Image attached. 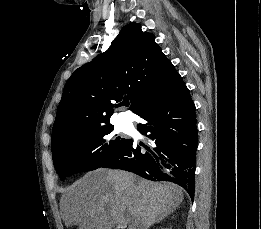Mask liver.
I'll return each mask as SVG.
<instances>
[{
  "label": "liver",
  "instance_id": "obj_1",
  "mask_svg": "<svg viewBox=\"0 0 261 229\" xmlns=\"http://www.w3.org/2000/svg\"><path fill=\"white\" fill-rule=\"evenodd\" d=\"M184 199L174 183H152L127 171L96 169L68 187L61 199L65 221L79 229H149L176 211Z\"/></svg>",
  "mask_w": 261,
  "mask_h": 229
}]
</instances>
